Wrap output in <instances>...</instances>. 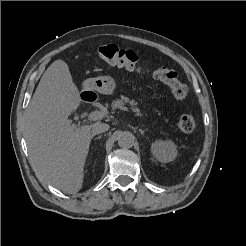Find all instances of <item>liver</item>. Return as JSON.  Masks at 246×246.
Masks as SVG:
<instances>
[{
	"label": "liver",
	"mask_w": 246,
	"mask_h": 246,
	"mask_svg": "<svg viewBox=\"0 0 246 246\" xmlns=\"http://www.w3.org/2000/svg\"><path fill=\"white\" fill-rule=\"evenodd\" d=\"M80 103L69 66L56 60L44 72L25 121V139L36 174L69 194L82 188L92 136V125L76 127L68 118Z\"/></svg>",
	"instance_id": "6515ba94"
}]
</instances>
